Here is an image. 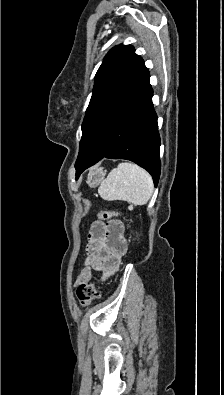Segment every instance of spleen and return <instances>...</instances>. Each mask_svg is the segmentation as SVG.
<instances>
[{"label":"spleen","instance_id":"obj_1","mask_svg":"<svg viewBox=\"0 0 224 395\" xmlns=\"http://www.w3.org/2000/svg\"><path fill=\"white\" fill-rule=\"evenodd\" d=\"M154 190L151 175L134 163H120L113 169L98 189L107 201L122 200L134 205L146 204Z\"/></svg>","mask_w":224,"mask_h":395}]
</instances>
